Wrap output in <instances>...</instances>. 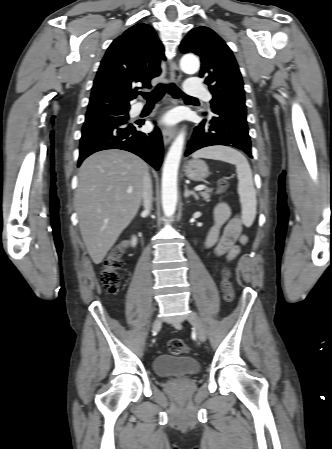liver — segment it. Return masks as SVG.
Returning a JSON list of instances; mask_svg holds the SVG:
<instances>
[{"label":"liver","mask_w":332,"mask_h":449,"mask_svg":"<svg viewBox=\"0 0 332 449\" xmlns=\"http://www.w3.org/2000/svg\"><path fill=\"white\" fill-rule=\"evenodd\" d=\"M147 172L141 158L117 149L97 152L82 163L75 207L84 244L95 264L102 262L136 216Z\"/></svg>","instance_id":"obj_1"}]
</instances>
